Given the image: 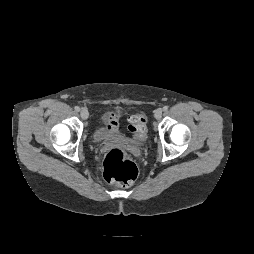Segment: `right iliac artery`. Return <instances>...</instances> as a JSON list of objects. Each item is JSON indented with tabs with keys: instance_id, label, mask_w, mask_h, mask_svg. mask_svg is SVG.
<instances>
[{
	"instance_id": "82829eb1",
	"label": "right iliac artery",
	"mask_w": 254,
	"mask_h": 254,
	"mask_svg": "<svg viewBox=\"0 0 254 254\" xmlns=\"http://www.w3.org/2000/svg\"><path fill=\"white\" fill-rule=\"evenodd\" d=\"M75 111L79 112L80 111V108L78 106H76L75 108Z\"/></svg>"
}]
</instances>
